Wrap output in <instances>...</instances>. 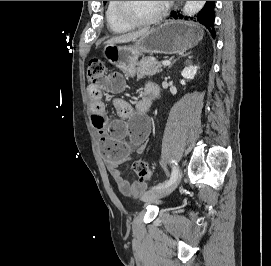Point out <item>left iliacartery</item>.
Listing matches in <instances>:
<instances>
[{
	"mask_svg": "<svg viewBox=\"0 0 271 266\" xmlns=\"http://www.w3.org/2000/svg\"><path fill=\"white\" fill-rule=\"evenodd\" d=\"M177 175H178V171H177L176 167L174 166L172 168L170 179L165 183H160L157 186H153L152 189H159V188H163V187H166V186L172 184L176 180Z\"/></svg>",
	"mask_w": 271,
	"mask_h": 266,
	"instance_id": "obj_1",
	"label": "left iliac artery"
}]
</instances>
